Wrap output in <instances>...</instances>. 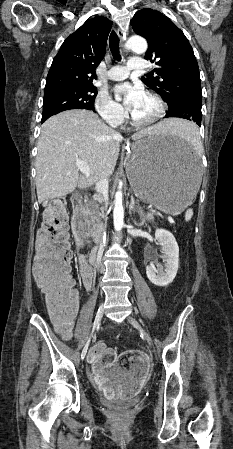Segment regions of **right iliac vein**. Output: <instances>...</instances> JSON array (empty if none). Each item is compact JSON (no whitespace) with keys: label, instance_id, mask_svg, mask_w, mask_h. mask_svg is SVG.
<instances>
[{"label":"right iliac vein","instance_id":"obj_1","mask_svg":"<svg viewBox=\"0 0 233 449\" xmlns=\"http://www.w3.org/2000/svg\"><path fill=\"white\" fill-rule=\"evenodd\" d=\"M103 312H104V306L102 304L100 306V308L98 309V312H97L96 317H95L94 324H96V325L99 324V322L101 321V319L103 317Z\"/></svg>","mask_w":233,"mask_h":449}]
</instances>
